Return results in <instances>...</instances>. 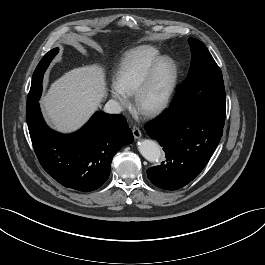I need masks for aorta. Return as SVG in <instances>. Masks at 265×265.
<instances>
[{
	"mask_svg": "<svg viewBox=\"0 0 265 265\" xmlns=\"http://www.w3.org/2000/svg\"><path fill=\"white\" fill-rule=\"evenodd\" d=\"M141 155L150 162H157L161 157L160 146L153 140H142L138 143Z\"/></svg>",
	"mask_w": 265,
	"mask_h": 265,
	"instance_id": "1",
	"label": "aorta"
}]
</instances>
